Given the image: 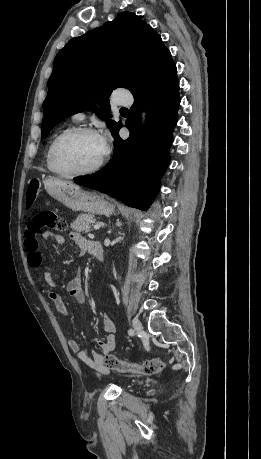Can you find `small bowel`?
Returning a JSON list of instances; mask_svg holds the SVG:
<instances>
[{"label": "small bowel", "instance_id": "small-bowel-1", "mask_svg": "<svg viewBox=\"0 0 261 459\" xmlns=\"http://www.w3.org/2000/svg\"><path fill=\"white\" fill-rule=\"evenodd\" d=\"M40 237L44 240H50L55 244L62 245L65 243V237L61 234H55L49 231H45L40 234ZM70 238L76 243L81 254L86 252L91 253L92 242L87 241L80 233H70ZM24 247L27 251V261L31 268L37 269L42 262V254L39 250V235L36 234L35 238H26L24 240ZM43 285L47 290L48 296L52 301L55 309L65 315H69L68 308L59 294L55 291L56 285L52 279L51 270H47L44 273ZM67 291L69 294L78 302L86 303V295L81 287V274L79 271L75 273L73 278L67 284ZM102 327L105 332L103 339L97 340L96 344L101 349V352L93 351L89 355L86 351L80 349V345L77 340H70V349L77 354L78 358L85 363L87 366L97 370L104 371L103 360L104 356L112 352L116 347L115 337V325L110 317L106 314L102 316Z\"/></svg>", "mask_w": 261, "mask_h": 459}]
</instances>
